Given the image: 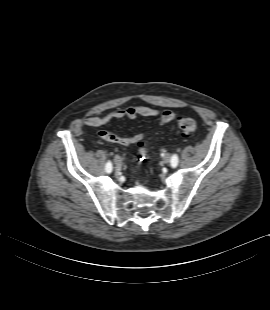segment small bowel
Here are the masks:
<instances>
[{"label": "small bowel", "instance_id": "obj_1", "mask_svg": "<svg viewBox=\"0 0 270 310\" xmlns=\"http://www.w3.org/2000/svg\"><path fill=\"white\" fill-rule=\"evenodd\" d=\"M139 117H158L160 124H167L175 120L176 114L171 110H159L157 108L144 105H131L125 108L114 109L102 116L86 118L84 124L88 127L99 128L109 123L112 119L127 118L136 120ZM98 137L106 142L116 143L121 146H130L138 143L143 138V135L141 133H137L133 136L127 137L102 130L98 132Z\"/></svg>", "mask_w": 270, "mask_h": 310}]
</instances>
